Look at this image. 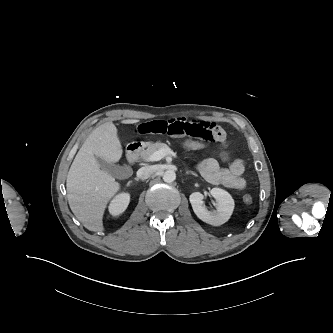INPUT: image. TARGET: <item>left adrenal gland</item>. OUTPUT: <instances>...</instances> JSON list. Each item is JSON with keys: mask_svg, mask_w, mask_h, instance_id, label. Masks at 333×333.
Wrapping results in <instances>:
<instances>
[{"mask_svg": "<svg viewBox=\"0 0 333 333\" xmlns=\"http://www.w3.org/2000/svg\"><path fill=\"white\" fill-rule=\"evenodd\" d=\"M186 174H192V175H195V176H197V174H196V173H194V172H192V171H188V172H186Z\"/></svg>", "mask_w": 333, "mask_h": 333, "instance_id": "left-adrenal-gland-1", "label": "left adrenal gland"}]
</instances>
